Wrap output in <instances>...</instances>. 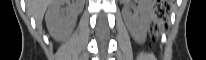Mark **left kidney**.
I'll use <instances>...</instances> for the list:
<instances>
[{
    "label": "left kidney",
    "instance_id": "obj_1",
    "mask_svg": "<svg viewBox=\"0 0 206 60\" xmlns=\"http://www.w3.org/2000/svg\"><path fill=\"white\" fill-rule=\"evenodd\" d=\"M139 16L132 15L128 8L123 10L124 19L131 34L140 38L145 35V32L150 24V16L152 10L151 0H137Z\"/></svg>",
    "mask_w": 206,
    "mask_h": 60
}]
</instances>
